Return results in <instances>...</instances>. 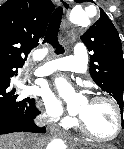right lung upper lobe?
<instances>
[{"instance_id": "right-lung-upper-lobe-1", "label": "right lung upper lobe", "mask_w": 124, "mask_h": 149, "mask_svg": "<svg viewBox=\"0 0 124 149\" xmlns=\"http://www.w3.org/2000/svg\"><path fill=\"white\" fill-rule=\"evenodd\" d=\"M53 10L50 0H7L0 6V66L23 65L44 37Z\"/></svg>"}]
</instances>
